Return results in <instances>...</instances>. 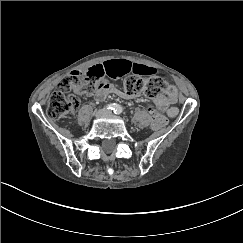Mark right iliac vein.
<instances>
[{"label": "right iliac vein", "instance_id": "obj_1", "mask_svg": "<svg viewBox=\"0 0 243 243\" xmlns=\"http://www.w3.org/2000/svg\"><path fill=\"white\" fill-rule=\"evenodd\" d=\"M104 114H105V112L102 109H99L95 112V117H100Z\"/></svg>", "mask_w": 243, "mask_h": 243}]
</instances>
